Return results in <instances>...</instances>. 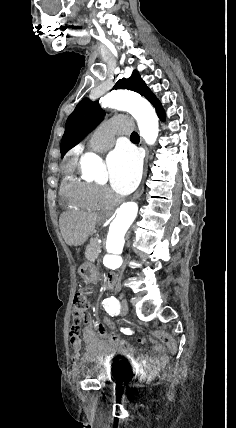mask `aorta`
I'll return each mask as SVG.
<instances>
[{"mask_svg": "<svg viewBox=\"0 0 236 428\" xmlns=\"http://www.w3.org/2000/svg\"><path fill=\"white\" fill-rule=\"evenodd\" d=\"M102 107H109L129 112L137 121L140 135L149 145L155 143L159 133L158 117L151 104L140 95L128 90H116L100 99ZM84 169L91 170L95 179L104 178L100 158L94 153H87L81 161ZM138 212L135 202L122 204L116 211V217L111 222L106 241V255L103 263L109 269H117L123 263L122 251L125 243V234Z\"/></svg>", "mask_w": 236, "mask_h": 428, "instance_id": "obj_1", "label": "aorta"}]
</instances>
